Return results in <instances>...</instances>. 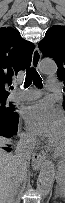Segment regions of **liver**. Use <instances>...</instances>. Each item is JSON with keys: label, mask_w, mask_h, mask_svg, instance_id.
I'll use <instances>...</instances> for the list:
<instances>
[{"label": "liver", "mask_w": 65, "mask_h": 203, "mask_svg": "<svg viewBox=\"0 0 65 203\" xmlns=\"http://www.w3.org/2000/svg\"><path fill=\"white\" fill-rule=\"evenodd\" d=\"M10 140L1 137V146L8 144ZM17 160L15 155L4 150L0 151V198H7L10 195L13 182L17 179Z\"/></svg>", "instance_id": "1"}]
</instances>
